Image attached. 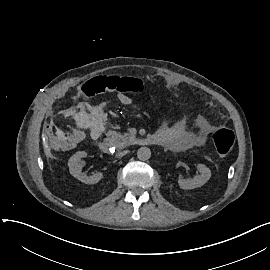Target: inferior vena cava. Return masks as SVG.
<instances>
[{"label": "inferior vena cava", "instance_id": "602c4592", "mask_svg": "<svg viewBox=\"0 0 270 270\" xmlns=\"http://www.w3.org/2000/svg\"><path fill=\"white\" fill-rule=\"evenodd\" d=\"M128 153H129V150H125V151H122V152L117 153L116 156L118 158H120V157H123L124 155H126Z\"/></svg>", "mask_w": 270, "mask_h": 270}]
</instances>
